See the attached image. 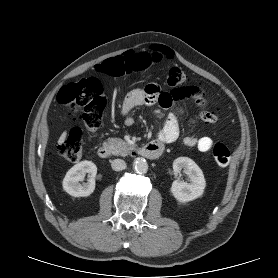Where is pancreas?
I'll list each match as a JSON object with an SVG mask.
<instances>
[{
    "label": "pancreas",
    "instance_id": "pancreas-1",
    "mask_svg": "<svg viewBox=\"0 0 278 278\" xmlns=\"http://www.w3.org/2000/svg\"><path fill=\"white\" fill-rule=\"evenodd\" d=\"M104 145L109 147L113 155L126 156L131 150V146L120 138H109Z\"/></svg>",
    "mask_w": 278,
    "mask_h": 278
}]
</instances>
